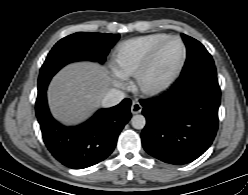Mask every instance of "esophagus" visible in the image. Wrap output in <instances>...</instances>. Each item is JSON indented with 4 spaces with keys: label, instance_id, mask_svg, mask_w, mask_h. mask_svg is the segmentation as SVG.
<instances>
[{
    "label": "esophagus",
    "instance_id": "obj_1",
    "mask_svg": "<svg viewBox=\"0 0 248 195\" xmlns=\"http://www.w3.org/2000/svg\"><path fill=\"white\" fill-rule=\"evenodd\" d=\"M142 111V105L138 101H133L131 105V113L139 114Z\"/></svg>",
    "mask_w": 248,
    "mask_h": 195
}]
</instances>
